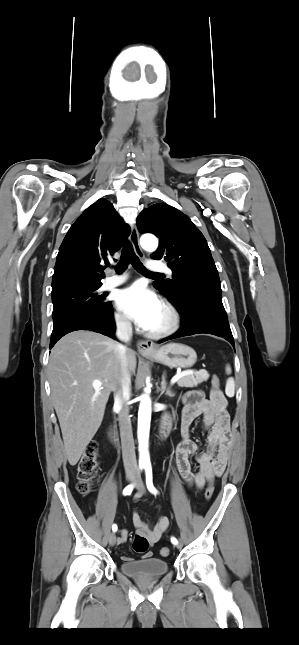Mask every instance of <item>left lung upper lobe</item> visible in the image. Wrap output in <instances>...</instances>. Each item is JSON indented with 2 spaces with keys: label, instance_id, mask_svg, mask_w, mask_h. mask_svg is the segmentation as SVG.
Wrapping results in <instances>:
<instances>
[{
  "label": "left lung upper lobe",
  "instance_id": "1",
  "mask_svg": "<svg viewBox=\"0 0 299 645\" xmlns=\"http://www.w3.org/2000/svg\"><path fill=\"white\" fill-rule=\"evenodd\" d=\"M137 226L142 233L160 239L152 258L169 262L173 278L154 284L172 301L193 296L204 286L220 285L207 241L188 216L166 203H157L140 213Z\"/></svg>",
  "mask_w": 299,
  "mask_h": 645
}]
</instances>
